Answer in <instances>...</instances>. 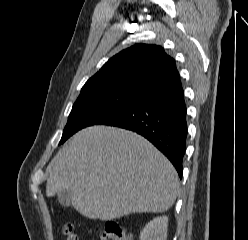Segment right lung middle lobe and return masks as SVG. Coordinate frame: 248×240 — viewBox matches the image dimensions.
<instances>
[{
    "instance_id": "dd1d6c3e",
    "label": "right lung middle lobe",
    "mask_w": 248,
    "mask_h": 240,
    "mask_svg": "<svg viewBox=\"0 0 248 240\" xmlns=\"http://www.w3.org/2000/svg\"><path fill=\"white\" fill-rule=\"evenodd\" d=\"M138 99L111 89H82L72 107L59 144L65 142L78 130L96 124L101 119Z\"/></svg>"
}]
</instances>
